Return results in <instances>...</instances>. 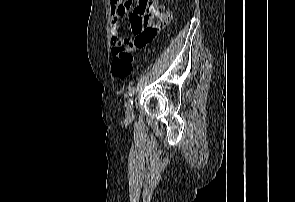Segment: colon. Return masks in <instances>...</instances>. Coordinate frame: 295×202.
Returning <instances> with one entry per match:
<instances>
[{
    "label": "colon",
    "instance_id": "colon-1",
    "mask_svg": "<svg viewBox=\"0 0 295 202\" xmlns=\"http://www.w3.org/2000/svg\"><path fill=\"white\" fill-rule=\"evenodd\" d=\"M132 67L133 56L131 52L125 46L118 48L114 52V58L111 63V72L113 76L120 80H125L130 76Z\"/></svg>",
    "mask_w": 295,
    "mask_h": 202
}]
</instances>
